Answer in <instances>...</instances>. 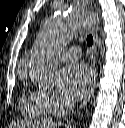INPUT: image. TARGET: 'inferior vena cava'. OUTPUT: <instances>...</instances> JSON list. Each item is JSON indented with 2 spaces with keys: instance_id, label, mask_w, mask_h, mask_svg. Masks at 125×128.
Instances as JSON below:
<instances>
[{
  "instance_id": "1",
  "label": "inferior vena cava",
  "mask_w": 125,
  "mask_h": 128,
  "mask_svg": "<svg viewBox=\"0 0 125 128\" xmlns=\"http://www.w3.org/2000/svg\"><path fill=\"white\" fill-rule=\"evenodd\" d=\"M65 106H66V110H67V111H71V110H72V105H71V103H66Z\"/></svg>"
}]
</instances>
